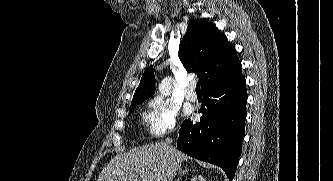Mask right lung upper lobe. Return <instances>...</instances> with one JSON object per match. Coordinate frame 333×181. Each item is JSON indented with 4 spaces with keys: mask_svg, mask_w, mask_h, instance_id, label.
Returning <instances> with one entry per match:
<instances>
[{
    "mask_svg": "<svg viewBox=\"0 0 333 181\" xmlns=\"http://www.w3.org/2000/svg\"><path fill=\"white\" fill-rule=\"evenodd\" d=\"M179 58L188 72L197 74L202 91L242 72L235 48L216 26L203 19L190 21L179 45ZM154 91L155 77L151 65L142 75L131 106L142 103Z\"/></svg>",
    "mask_w": 333,
    "mask_h": 181,
    "instance_id": "obj_1",
    "label": "right lung upper lobe"
}]
</instances>
